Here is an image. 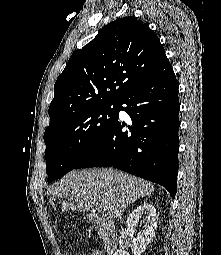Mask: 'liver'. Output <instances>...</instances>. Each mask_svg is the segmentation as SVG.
Here are the masks:
<instances>
[{"label": "liver", "mask_w": 221, "mask_h": 255, "mask_svg": "<svg viewBox=\"0 0 221 255\" xmlns=\"http://www.w3.org/2000/svg\"><path fill=\"white\" fill-rule=\"evenodd\" d=\"M154 186L115 169L71 171L51 186L47 195L61 205V211L85 212L100 202L110 218L120 217L131 203L150 195Z\"/></svg>", "instance_id": "6515ba94"}]
</instances>
